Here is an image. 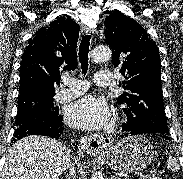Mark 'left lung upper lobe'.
I'll list each match as a JSON object with an SVG mask.
<instances>
[{"instance_id": "obj_1", "label": "left lung upper lobe", "mask_w": 183, "mask_h": 179, "mask_svg": "<svg viewBox=\"0 0 183 179\" xmlns=\"http://www.w3.org/2000/svg\"><path fill=\"white\" fill-rule=\"evenodd\" d=\"M105 24L104 41L112 49L114 67L125 78L126 92L117 102L126 107V124L138 131L167 135L157 45L139 23L120 11L110 14Z\"/></svg>"}]
</instances>
